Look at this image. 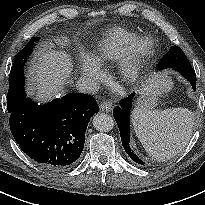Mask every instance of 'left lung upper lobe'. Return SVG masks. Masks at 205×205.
<instances>
[{
    "mask_svg": "<svg viewBox=\"0 0 205 205\" xmlns=\"http://www.w3.org/2000/svg\"><path fill=\"white\" fill-rule=\"evenodd\" d=\"M191 64L184 52L178 46H172L163 57L157 69L190 67Z\"/></svg>",
    "mask_w": 205,
    "mask_h": 205,
    "instance_id": "5c2ea615",
    "label": "left lung upper lobe"
}]
</instances>
